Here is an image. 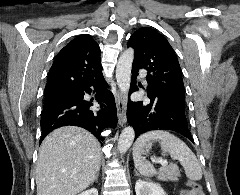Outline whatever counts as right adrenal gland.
Returning <instances> with one entry per match:
<instances>
[{
    "label": "right adrenal gland",
    "instance_id": "right-adrenal-gland-1",
    "mask_svg": "<svg viewBox=\"0 0 240 195\" xmlns=\"http://www.w3.org/2000/svg\"><path fill=\"white\" fill-rule=\"evenodd\" d=\"M98 175H99V171H98V173H96V175H95L93 181H91V183H94V181H98Z\"/></svg>",
    "mask_w": 240,
    "mask_h": 195
}]
</instances>
